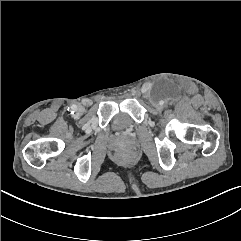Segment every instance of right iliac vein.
Instances as JSON below:
<instances>
[{"label":"right iliac vein","mask_w":241,"mask_h":241,"mask_svg":"<svg viewBox=\"0 0 241 241\" xmlns=\"http://www.w3.org/2000/svg\"><path fill=\"white\" fill-rule=\"evenodd\" d=\"M78 112L81 114V113H83L84 112V108L83 107H79L78 108Z\"/></svg>","instance_id":"right-iliac-vein-1"}]
</instances>
